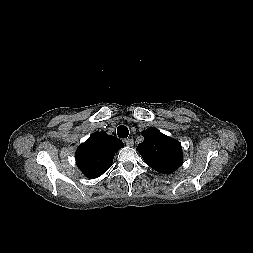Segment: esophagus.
I'll list each match as a JSON object with an SVG mask.
<instances>
[{
    "mask_svg": "<svg viewBox=\"0 0 253 253\" xmlns=\"http://www.w3.org/2000/svg\"><path fill=\"white\" fill-rule=\"evenodd\" d=\"M125 144L128 147H132L134 145V141H133V139L128 138V139L125 140Z\"/></svg>",
    "mask_w": 253,
    "mask_h": 253,
    "instance_id": "34e87169",
    "label": "esophagus"
}]
</instances>
